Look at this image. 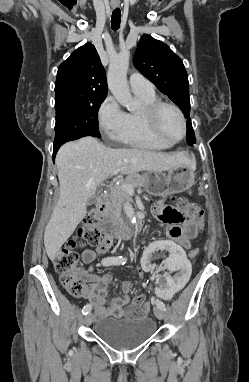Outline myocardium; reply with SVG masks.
Listing matches in <instances>:
<instances>
[{
    "label": "myocardium",
    "instance_id": "1",
    "mask_svg": "<svg viewBox=\"0 0 249 382\" xmlns=\"http://www.w3.org/2000/svg\"><path fill=\"white\" fill-rule=\"evenodd\" d=\"M165 107L173 109L177 113V115L179 116V118L181 120L182 127H183V133H182L181 137H179L177 139H172V138L166 136L163 133V131L159 125V115H160L161 110ZM142 114H143L144 119H145L150 131L152 132V134L162 141H165V142L170 143V144H175V143L180 142L182 139H184V137L187 134L186 117H185L184 113L182 112V110L179 108V106H177L174 103H171L168 101L156 100L152 104L144 106L142 109Z\"/></svg>",
    "mask_w": 249,
    "mask_h": 382
}]
</instances>
